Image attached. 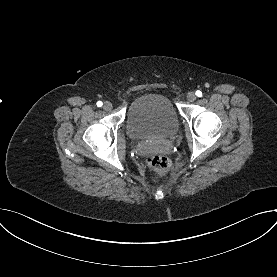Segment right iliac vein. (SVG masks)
Returning <instances> with one entry per match:
<instances>
[{
  "label": "right iliac vein",
  "mask_w": 277,
  "mask_h": 277,
  "mask_svg": "<svg viewBox=\"0 0 277 277\" xmlns=\"http://www.w3.org/2000/svg\"><path fill=\"white\" fill-rule=\"evenodd\" d=\"M103 109L106 111H110L112 109V104L108 101H106L103 105Z\"/></svg>",
  "instance_id": "right-iliac-vein-1"
}]
</instances>
